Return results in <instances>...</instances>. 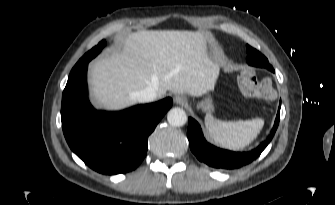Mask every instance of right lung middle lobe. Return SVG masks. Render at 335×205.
Instances as JSON below:
<instances>
[{"label": "right lung middle lobe", "mask_w": 335, "mask_h": 205, "mask_svg": "<svg viewBox=\"0 0 335 205\" xmlns=\"http://www.w3.org/2000/svg\"><path fill=\"white\" fill-rule=\"evenodd\" d=\"M106 45V41L102 40L101 42H99V44L95 47H93L90 51H88L77 63L76 65L73 67L72 71L77 69L81 64L85 63V62H89L90 60H92L94 57H96L101 50L103 49V47Z\"/></svg>", "instance_id": "dd1d6c3e"}]
</instances>
